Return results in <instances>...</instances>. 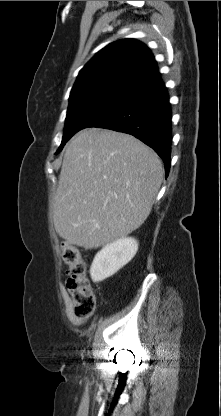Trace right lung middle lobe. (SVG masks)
Masks as SVG:
<instances>
[{
  "label": "right lung middle lobe",
  "instance_id": "dd1d6c3e",
  "mask_svg": "<svg viewBox=\"0 0 221 416\" xmlns=\"http://www.w3.org/2000/svg\"><path fill=\"white\" fill-rule=\"evenodd\" d=\"M128 95L126 92H96L70 100L62 143L57 153L76 132L98 124Z\"/></svg>",
  "mask_w": 221,
  "mask_h": 416
}]
</instances>
